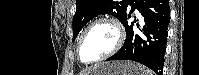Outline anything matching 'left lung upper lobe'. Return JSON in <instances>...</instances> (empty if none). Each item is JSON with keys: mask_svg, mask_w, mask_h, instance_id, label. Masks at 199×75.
I'll return each mask as SVG.
<instances>
[{"mask_svg": "<svg viewBox=\"0 0 199 75\" xmlns=\"http://www.w3.org/2000/svg\"><path fill=\"white\" fill-rule=\"evenodd\" d=\"M131 0H76V13L73 18V37L93 17L99 14H110L121 22L124 19Z\"/></svg>", "mask_w": 199, "mask_h": 75, "instance_id": "left-lung-upper-lobe-1", "label": "left lung upper lobe"}]
</instances>
